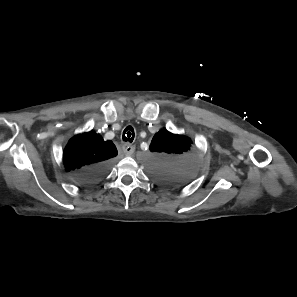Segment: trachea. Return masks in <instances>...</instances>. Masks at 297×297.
<instances>
[{
  "instance_id": "trachea-1",
  "label": "trachea",
  "mask_w": 297,
  "mask_h": 297,
  "mask_svg": "<svg viewBox=\"0 0 297 297\" xmlns=\"http://www.w3.org/2000/svg\"><path fill=\"white\" fill-rule=\"evenodd\" d=\"M134 136H135L134 129L131 126H128L125 128V130L123 132L122 140L124 142L132 143L134 140Z\"/></svg>"
}]
</instances>
